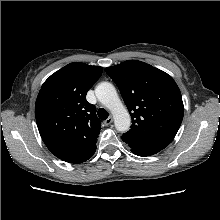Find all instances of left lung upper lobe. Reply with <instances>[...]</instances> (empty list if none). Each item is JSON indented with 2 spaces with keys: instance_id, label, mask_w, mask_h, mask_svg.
Listing matches in <instances>:
<instances>
[{
  "instance_id": "5c2ea615",
  "label": "left lung upper lobe",
  "mask_w": 220,
  "mask_h": 220,
  "mask_svg": "<svg viewBox=\"0 0 220 220\" xmlns=\"http://www.w3.org/2000/svg\"><path fill=\"white\" fill-rule=\"evenodd\" d=\"M132 118L122 139L131 148L160 151L175 137L184 115L181 92L167 73L129 60L107 67Z\"/></svg>"
}]
</instances>
